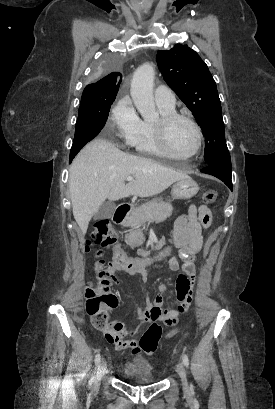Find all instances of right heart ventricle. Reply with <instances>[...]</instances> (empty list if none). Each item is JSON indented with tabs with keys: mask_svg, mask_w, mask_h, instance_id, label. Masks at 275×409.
Here are the masks:
<instances>
[{
	"mask_svg": "<svg viewBox=\"0 0 275 409\" xmlns=\"http://www.w3.org/2000/svg\"><path fill=\"white\" fill-rule=\"evenodd\" d=\"M158 109L162 116L175 113L174 109H165L161 107H158ZM155 124L156 122H150L148 120L141 121L133 146L138 154L167 157L158 143Z\"/></svg>",
	"mask_w": 275,
	"mask_h": 409,
	"instance_id": "obj_1",
	"label": "right heart ventricle"
}]
</instances>
